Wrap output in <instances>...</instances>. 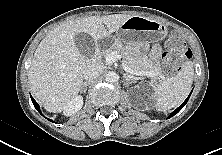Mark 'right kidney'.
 Listing matches in <instances>:
<instances>
[{"label": "right kidney", "instance_id": "ca27d5eb", "mask_svg": "<svg viewBox=\"0 0 222 155\" xmlns=\"http://www.w3.org/2000/svg\"><path fill=\"white\" fill-rule=\"evenodd\" d=\"M83 106V97L81 95L76 96L70 101L67 107L64 109V115L70 116L79 111Z\"/></svg>", "mask_w": 222, "mask_h": 155}]
</instances>
